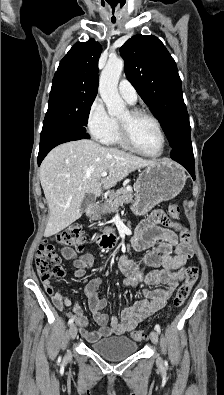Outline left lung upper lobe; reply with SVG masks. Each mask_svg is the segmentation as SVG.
Returning <instances> with one entry per match:
<instances>
[{
    "mask_svg": "<svg viewBox=\"0 0 224 395\" xmlns=\"http://www.w3.org/2000/svg\"><path fill=\"white\" fill-rule=\"evenodd\" d=\"M120 54L125 61L127 79L162 123L173 147L181 133L190 129L174 59L153 35L133 36L120 48Z\"/></svg>",
    "mask_w": 224,
    "mask_h": 395,
    "instance_id": "1",
    "label": "left lung upper lobe"
}]
</instances>
